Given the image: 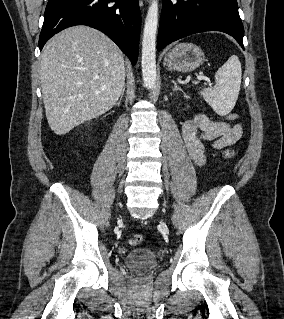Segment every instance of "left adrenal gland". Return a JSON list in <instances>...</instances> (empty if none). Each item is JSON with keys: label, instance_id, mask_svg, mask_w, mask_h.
I'll list each match as a JSON object with an SVG mask.
<instances>
[{"label": "left adrenal gland", "instance_id": "a2214340", "mask_svg": "<svg viewBox=\"0 0 284 319\" xmlns=\"http://www.w3.org/2000/svg\"><path fill=\"white\" fill-rule=\"evenodd\" d=\"M172 83L174 84L173 91H177V90L182 91V89L177 86V83L174 80H172ZM184 96H185V93H184Z\"/></svg>", "mask_w": 284, "mask_h": 319}]
</instances>
